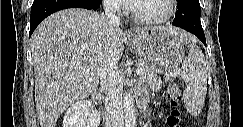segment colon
Masks as SVG:
<instances>
[{
  "label": "colon",
  "mask_w": 243,
  "mask_h": 127,
  "mask_svg": "<svg viewBox=\"0 0 243 127\" xmlns=\"http://www.w3.org/2000/svg\"><path fill=\"white\" fill-rule=\"evenodd\" d=\"M167 98L172 107V110L167 117V125L170 127H181L183 125V118L179 106L182 101V94L178 83H172L168 87Z\"/></svg>",
  "instance_id": "colon-1"
}]
</instances>
